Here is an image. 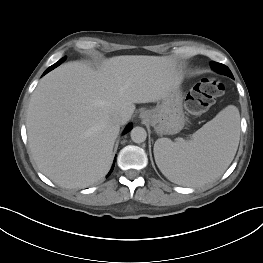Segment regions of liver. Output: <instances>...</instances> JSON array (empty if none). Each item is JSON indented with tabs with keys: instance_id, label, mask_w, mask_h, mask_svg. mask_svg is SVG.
<instances>
[{
	"instance_id": "liver-1",
	"label": "liver",
	"mask_w": 263,
	"mask_h": 263,
	"mask_svg": "<svg viewBox=\"0 0 263 263\" xmlns=\"http://www.w3.org/2000/svg\"><path fill=\"white\" fill-rule=\"evenodd\" d=\"M183 73L168 57L122 55L94 70L68 62L47 74L27 110L28 144L40 171L63 188H85L108 173L120 124L136 103L159 102ZM126 121V122H127Z\"/></svg>"
}]
</instances>
